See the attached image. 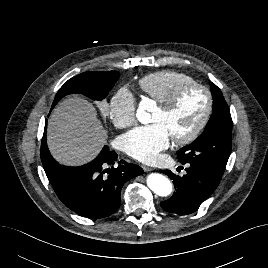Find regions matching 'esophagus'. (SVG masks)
I'll return each instance as SVG.
<instances>
[{
	"label": "esophagus",
	"mask_w": 268,
	"mask_h": 268,
	"mask_svg": "<svg viewBox=\"0 0 268 268\" xmlns=\"http://www.w3.org/2000/svg\"><path fill=\"white\" fill-rule=\"evenodd\" d=\"M142 168H143V170L145 172L153 171V168L152 167H149V166H146V165H143Z\"/></svg>",
	"instance_id": "34e87169"
}]
</instances>
